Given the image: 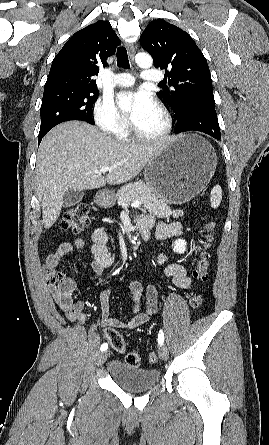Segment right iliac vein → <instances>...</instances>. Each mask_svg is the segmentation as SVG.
Instances as JSON below:
<instances>
[{"instance_id": "right-iliac-vein-1", "label": "right iliac vein", "mask_w": 269, "mask_h": 445, "mask_svg": "<svg viewBox=\"0 0 269 445\" xmlns=\"http://www.w3.org/2000/svg\"><path fill=\"white\" fill-rule=\"evenodd\" d=\"M108 358V352H102L99 354L98 359H97V364L98 365H102Z\"/></svg>"}]
</instances>
